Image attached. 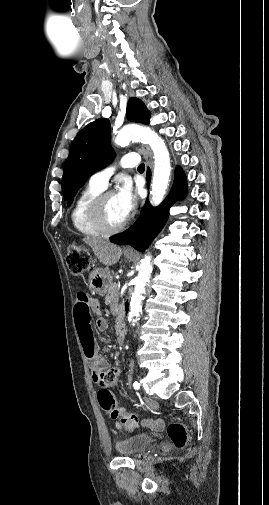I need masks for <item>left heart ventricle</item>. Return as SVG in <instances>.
Instances as JSON below:
<instances>
[{
  "instance_id": "left-heart-ventricle-1",
  "label": "left heart ventricle",
  "mask_w": 269,
  "mask_h": 505,
  "mask_svg": "<svg viewBox=\"0 0 269 505\" xmlns=\"http://www.w3.org/2000/svg\"><path fill=\"white\" fill-rule=\"evenodd\" d=\"M105 216L109 224L115 226L122 223L125 218L121 215L114 194L107 197L104 205Z\"/></svg>"
}]
</instances>
